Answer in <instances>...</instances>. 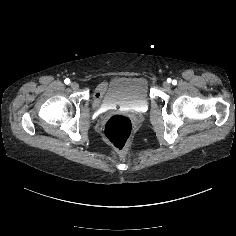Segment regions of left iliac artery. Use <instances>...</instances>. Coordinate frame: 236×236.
Returning a JSON list of instances; mask_svg holds the SVG:
<instances>
[{"label": "left iliac artery", "mask_w": 236, "mask_h": 236, "mask_svg": "<svg viewBox=\"0 0 236 236\" xmlns=\"http://www.w3.org/2000/svg\"><path fill=\"white\" fill-rule=\"evenodd\" d=\"M174 82L177 84V81H176V80H173V82H172V83H174Z\"/></svg>", "instance_id": "left-iliac-artery-1"}]
</instances>
